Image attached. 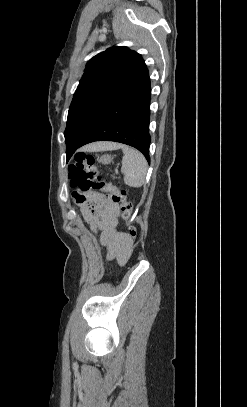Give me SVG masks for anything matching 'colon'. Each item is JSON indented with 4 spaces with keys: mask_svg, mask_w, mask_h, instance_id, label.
<instances>
[{
    "mask_svg": "<svg viewBox=\"0 0 247 407\" xmlns=\"http://www.w3.org/2000/svg\"><path fill=\"white\" fill-rule=\"evenodd\" d=\"M69 178L71 185L78 190L75 193L77 202L86 200L84 194L88 192L108 193L115 203L120 204L122 217L129 223L128 233L131 238L137 236V229L131 222L132 205L127 199V193L108 183L101 175L96 165L95 158L91 154L79 153L69 166ZM133 249V245H131Z\"/></svg>",
    "mask_w": 247,
    "mask_h": 407,
    "instance_id": "5ec220e1",
    "label": "colon"
}]
</instances>
